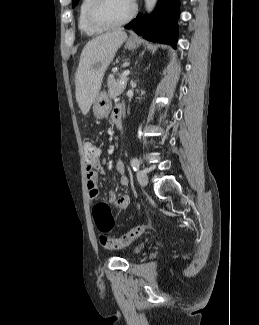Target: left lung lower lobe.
Masks as SVG:
<instances>
[{
  "label": "left lung lower lobe",
  "instance_id": "obj_1",
  "mask_svg": "<svg viewBox=\"0 0 259 325\" xmlns=\"http://www.w3.org/2000/svg\"><path fill=\"white\" fill-rule=\"evenodd\" d=\"M179 0H159L157 10L150 16L138 14L125 26L149 41L176 46L178 38Z\"/></svg>",
  "mask_w": 259,
  "mask_h": 325
}]
</instances>
